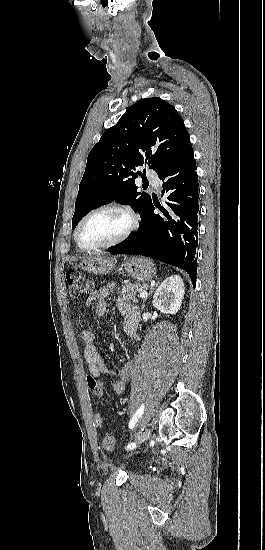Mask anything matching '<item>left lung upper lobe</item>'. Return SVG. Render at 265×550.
<instances>
[{"label":"left lung upper lobe","mask_w":265,"mask_h":550,"mask_svg":"<svg viewBox=\"0 0 265 550\" xmlns=\"http://www.w3.org/2000/svg\"><path fill=\"white\" fill-rule=\"evenodd\" d=\"M189 142L183 120L161 98L142 99L130 106L88 155L72 229L89 211L113 199L130 204L142 219L152 199L137 192L134 180L141 173L135 168L148 164L159 175Z\"/></svg>","instance_id":"5c2ea615"}]
</instances>
